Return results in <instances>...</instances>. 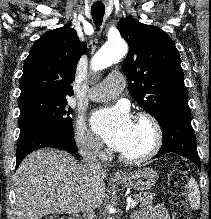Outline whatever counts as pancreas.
<instances>
[{"label":"pancreas","instance_id":"pancreas-1","mask_svg":"<svg viewBox=\"0 0 211 219\" xmlns=\"http://www.w3.org/2000/svg\"><path fill=\"white\" fill-rule=\"evenodd\" d=\"M154 194L150 193V192H144L142 194H136L133 195V197L135 198V200L141 205V206H145V205H150L153 202L154 199Z\"/></svg>","mask_w":211,"mask_h":219}]
</instances>
